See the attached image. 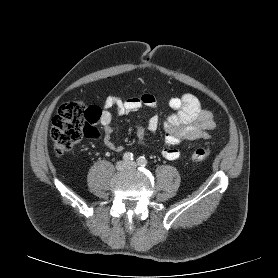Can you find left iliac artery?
I'll return each instance as SVG.
<instances>
[{
    "mask_svg": "<svg viewBox=\"0 0 278 278\" xmlns=\"http://www.w3.org/2000/svg\"><path fill=\"white\" fill-rule=\"evenodd\" d=\"M137 163H138V165L145 167V166L147 165L148 162H147V159H146L145 157L140 156V157L137 159Z\"/></svg>",
    "mask_w": 278,
    "mask_h": 278,
    "instance_id": "obj_1",
    "label": "left iliac artery"
}]
</instances>
